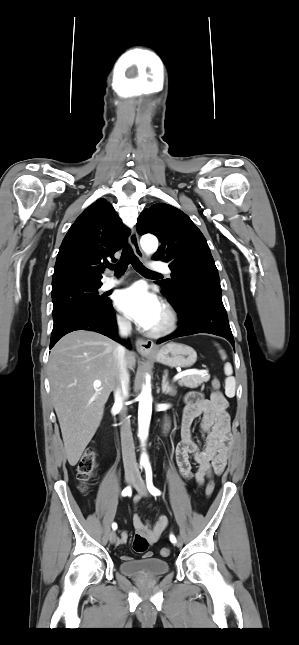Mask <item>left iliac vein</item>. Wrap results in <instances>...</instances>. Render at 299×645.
<instances>
[{
  "instance_id": "1",
  "label": "left iliac vein",
  "mask_w": 299,
  "mask_h": 645,
  "mask_svg": "<svg viewBox=\"0 0 299 645\" xmlns=\"http://www.w3.org/2000/svg\"><path fill=\"white\" fill-rule=\"evenodd\" d=\"M134 487H135V489L138 491V493L141 496L146 497L148 495V491H147L146 485L144 483V480L142 479V477H141V475L139 473L136 475V479L134 481ZM176 546L177 547L182 546L181 539H178V541L176 542Z\"/></svg>"
}]
</instances>
